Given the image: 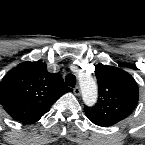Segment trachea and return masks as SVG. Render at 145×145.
<instances>
[{
  "instance_id": "3493384b",
  "label": "trachea",
  "mask_w": 145,
  "mask_h": 145,
  "mask_svg": "<svg viewBox=\"0 0 145 145\" xmlns=\"http://www.w3.org/2000/svg\"><path fill=\"white\" fill-rule=\"evenodd\" d=\"M65 83L70 86V87H74L76 84V77L73 74H68L65 77Z\"/></svg>"
}]
</instances>
